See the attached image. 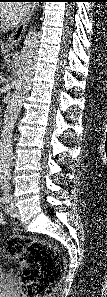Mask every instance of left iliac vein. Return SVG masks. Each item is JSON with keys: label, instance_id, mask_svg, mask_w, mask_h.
Instances as JSON below:
<instances>
[{"label": "left iliac vein", "instance_id": "left-iliac-vein-1", "mask_svg": "<svg viewBox=\"0 0 107 297\" xmlns=\"http://www.w3.org/2000/svg\"><path fill=\"white\" fill-rule=\"evenodd\" d=\"M8 214L11 216V217H18L19 216V211L16 207V205L14 204V202H11L8 206Z\"/></svg>", "mask_w": 107, "mask_h": 297}]
</instances>
